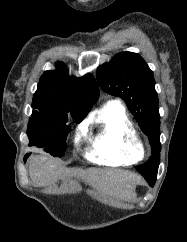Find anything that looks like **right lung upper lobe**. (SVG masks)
<instances>
[{
	"label": "right lung upper lobe",
	"mask_w": 187,
	"mask_h": 242,
	"mask_svg": "<svg viewBox=\"0 0 187 242\" xmlns=\"http://www.w3.org/2000/svg\"><path fill=\"white\" fill-rule=\"evenodd\" d=\"M98 97L99 89L91 74L69 76L66 65L57 62L56 70L45 71L39 80L33 95V114L86 116Z\"/></svg>",
	"instance_id": "right-lung-upper-lobe-1"
}]
</instances>
